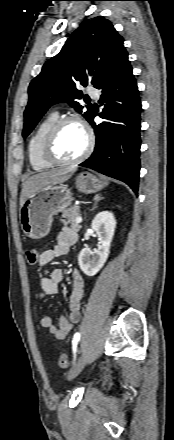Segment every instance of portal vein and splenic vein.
I'll return each instance as SVG.
<instances>
[{"label": "portal vein and splenic vein", "instance_id": "obj_1", "mask_svg": "<svg viewBox=\"0 0 174 440\" xmlns=\"http://www.w3.org/2000/svg\"><path fill=\"white\" fill-rule=\"evenodd\" d=\"M81 222H82V217L78 216V217L76 218V223H77V224H80Z\"/></svg>", "mask_w": 174, "mask_h": 440}]
</instances>
